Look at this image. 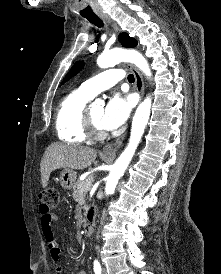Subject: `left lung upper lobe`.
<instances>
[{
	"label": "left lung upper lobe",
	"mask_w": 221,
	"mask_h": 274,
	"mask_svg": "<svg viewBox=\"0 0 221 274\" xmlns=\"http://www.w3.org/2000/svg\"><path fill=\"white\" fill-rule=\"evenodd\" d=\"M118 39L124 47H135L137 45V41L134 38L129 37L127 33H121ZM83 65L84 63L82 61L76 62L65 77L63 83L76 75L83 68Z\"/></svg>",
	"instance_id": "1"
}]
</instances>
